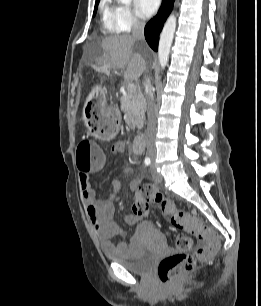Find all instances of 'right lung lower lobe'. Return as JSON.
Returning <instances> with one entry per match:
<instances>
[{"instance_id":"1","label":"right lung lower lobe","mask_w":261,"mask_h":306,"mask_svg":"<svg viewBox=\"0 0 261 306\" xmlns=\"http://www.w3.org/2000/svg\"><path fill=\"white\" fill-rule=\"evenodd\" d=\"M173 3L174 0H163L158 14L145 26V38L150 47L155 51L158 49L159 34L173 8Z\"/></svg>"}]
</instances>
